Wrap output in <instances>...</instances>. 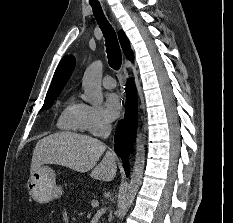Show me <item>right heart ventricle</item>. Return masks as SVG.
<instances>
[{
    "instance_id": "1",
    "label": "right heart ventricle",
    "mask_w": 233,
    "mask_h": 223,
    "mask_svg": "<svg viewBox=\"0 0 233 223\" xmlns=\"http://www.w3.org/2000/svg\"><path fill=\"white\" fill-rule=\"evenodd\" d=\"M83 104L74 98L69 99L59 110L55 125L58 129L68 132L82 130Z\"/></svg>"
}]
</instances>
